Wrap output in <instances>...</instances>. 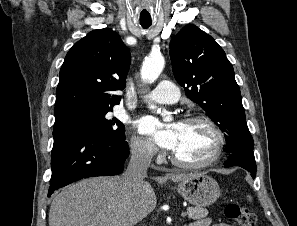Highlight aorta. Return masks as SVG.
Masks as SVG:
<instances>
[{"label": "aorta", "mask_w": 297, "mask_h": 226, "mask_svg": "<svg viewBox=\"0 0 297 226\" xmlns=\"http://www.w3.org/2000/svg\"><path fill=\"white\" fill-rule=\"evenodd\" d=\"M164 68V57L162 55H150L147 57L141 68V78L147 82H154ZM150 108H156L151 105Z\"/></svg>", "instance_id": "obj_1"}]
</instances>
